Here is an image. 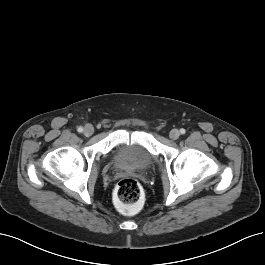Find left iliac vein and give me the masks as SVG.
Here are the masks:
<instances>
[{"label":"left iliac vein","mask_w":265,"mask_h":265,"mask_svg":"<svg viewBox=\"0 0 265 265\" xmlns=\"http://www.w3.org/2000/svg\"><path fill=\"white\" fill-rule=\"evenodd\" d=\"M180 136V132L179 130L177 129H172L169 133V137L172 139V140H176L178 139Z\"/></svg>","instance_id":"left-iliac-vein-1"}]
</instances>
